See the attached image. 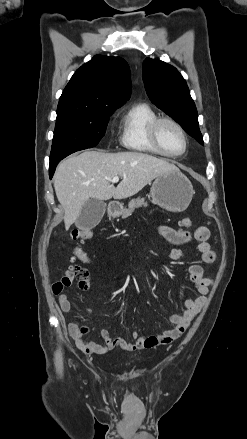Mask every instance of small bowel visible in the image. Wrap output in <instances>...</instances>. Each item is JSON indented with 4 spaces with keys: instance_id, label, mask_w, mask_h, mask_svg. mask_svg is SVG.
<instances>
[{
    "instance_id": "c3829d8e",
    "label": "small bowel",
    "mask_w": 247,
    "mask_h": 439,
    "mask_svg": "<svg viewBox=\"0 0 247 439\" xmlns=\"http://www.w3.org/2000/svg\"><path fill=\"white\" fill-rule=\"evenodd\" d=\"M159 232L168 242L177 246L188 244L192 238L191 233L186 230L165 225L160 226ZM209 237L210 232L206 227H198L194 232V238L198 242L196 251L201 261L206 264L213 263L216 259V254L209 244ZM183 256L184 250L181 248L172 249L168 255L171 260H178ZM188 277L201 296L196 299H186L181 312L170 317V327L159 334L141 335L137 331H133L131 336L134 341L130 342L120 337L113 338L108 330L100 329L99 336L104 344H98L85 339L89 327L80 326L73 317L69 319V333L77 347L88 355H103L114 348H119L121 351H136L170 344L184 333L200 312L207 301V294L212 284L211 279L204 277V270L199 264H193L188 268ZM73 280V273L67 271L58 282L53 284V293L57 296L59 306L65 313L71 312L72 306L68 295L64 293V289L69 287Z\"/></svg>"
}]
</instances>
